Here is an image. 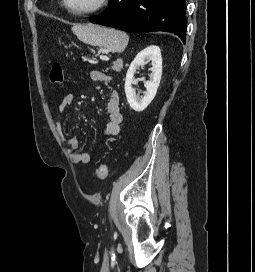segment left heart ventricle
<instances>
[{
	"mask_svg": "<svg viewBox=\"0 0 255 272\" xmlns=\"http://www.w3.org/2000/svg\"><path fill=\"white\" fill-rule=\"evenodd\" d=\"M98 0H68V4L72 9L84 10L96 5Z\"/></svg>",
	"mask_w": 255,
	"mask_h": 272,
	"instance_id": "left-heart-ventricle-1",
	"label": "left heart ventricle"
}]
</instances>
